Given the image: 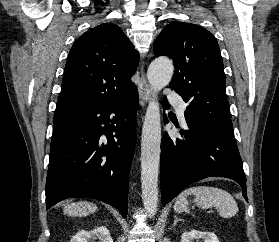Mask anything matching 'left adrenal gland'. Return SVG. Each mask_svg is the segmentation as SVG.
<instances>
[{"mask_svg": "<svg viewBox=\"0 0 279 242\" xmlns=\"http://www.w3.org/2000/svg\"><path fill=\"white\" fill-rule=\"evenodd\" d=\"M178 221H183L182 219H179L177 216H174V226H176V223Z\"/></svg>", "mask_w": 279, "mask_h": 242, "instance_id": "left-adrenal-gland-1", "label": "left adrenal gland"}]
</instances>
